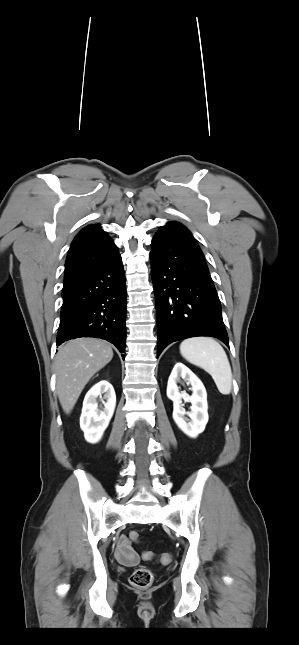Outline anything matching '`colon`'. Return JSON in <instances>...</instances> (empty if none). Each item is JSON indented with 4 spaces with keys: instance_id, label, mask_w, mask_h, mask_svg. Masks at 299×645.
Instances as JSON below:
<instances>
[{
    "instance_id": "5ec220e1",
    "label": "colon",
    "mask_w": 299,
    "mask_h": 645,
    "mask_svg": "<svg viewBox=\"0 0 299 645\" xmlns=\"http://www.w3.org/2000/svg\"><path fill=\"white\" fill-rule=\"evenodd\" d=\"M129 537L132 541H135V542L139 540V534L136 531H132L129 534ZM142 557L144 560H152L154 558V553L151 551H146L143 553ZM171 559L172 557H171V554L169 553H162L160 555V561L163 564L170 563ZM152 580H153V575L151 571L145 567L136 569L130 576L131 585L141 589L149 587L152 583Z\"/></svg>"
}]
</instances>
